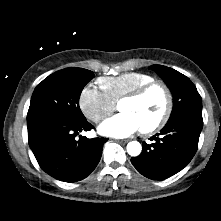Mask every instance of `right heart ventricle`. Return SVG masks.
Returning a JSON list of instances; mask_svg holds the SVG:
<instances>
[{
    "instance_id": "right-heart-ventricle-1",
    "label": "right heart ventricle",
    "mask_w": 221,
    "mask_h": 221,
    "mask_svg": "<svg viewBox=\"0 0 221 221\" xmlns=\"http://www.w3.org/2000/svg\"><path fill=\"white\" fill-rule=\"evenodd\" d=\"M154 81L153 76L143 72H127L115 77H101L98 84L101 90L117 103L126 94Z\"/></svg>"
}]
</instances>
